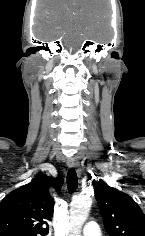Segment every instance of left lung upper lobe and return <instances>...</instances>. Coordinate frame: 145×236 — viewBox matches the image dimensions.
Segmentation results:
<instances>
[{"label": "left lung upper lobe", "mask_w": 145, "mask_h": 236, "mask_svg": "<svg viewBox=\"0 0 145 236\" xmlns=\"http://www.w3.org/2000/svg\"><path fill=\"white\" fill-rule=\"evenodd\" d=\"M92 185L109 236H145V215L129 195L103 180Z\"/></svg>", "instance_id": "1"}]
</instances>
